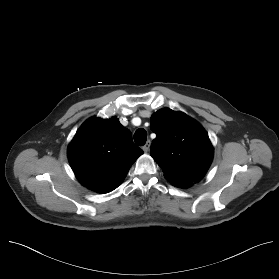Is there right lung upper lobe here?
I'll list each match as a JSON object with an SVG mask.
<instances>
[{
	"mask_svg": "<svg viewBox=\"0 0 279 279\" xmlns=\"http://www.w3.org/2000/svg\"><path fill=\"white\" fill-rule=\"evenodd\" d=\"M143 153L116 117L90 118L68 147V160L80 183L99 193L116 189Z\"/></svg>",
	"mask_w": 279,
	"mask_h": 279,
	"instance_id": "obj_1",
	"label": "right lung upper lobe"
}]
</instances>
